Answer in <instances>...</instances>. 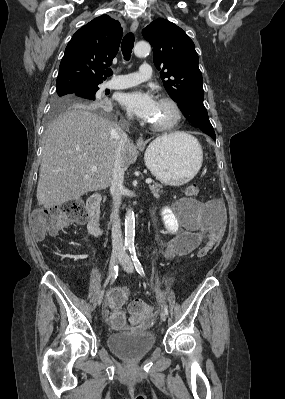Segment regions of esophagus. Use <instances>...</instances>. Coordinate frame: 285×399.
<instances>
[{
  "label": "esophagus",
  "mask_w": 285,
  "mask_h": 399,
  "mask_svg": "<svg viewBox=\"0 0 285 399\" xmlns=\"http://www.w3.org/2000/svg\"><path fill=\"white\" fill-rule=\"evenodd\" d=\"M137 29H138V22H137V21H134V22L131 24L130 30H131L132 32H136ZM145 144H146V143H145V141H144V139H143L142 137H139V138L137 139L136 146H137L138 148H144V147H145Z\"/></svg>",
  "instance_id": "esophagus-1"
}]
</instances>
